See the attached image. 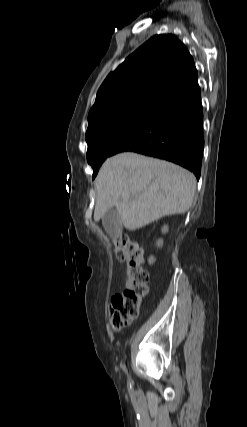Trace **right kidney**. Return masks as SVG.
Wrapping results in <instances>:
<instances>
[{"label":"right kidney","mask_w":247,"mask_h":427,"mask_svg":"<svg viewBox=\"0 0 247 427\" xmlns=\"http://www.w3.org/2000/svg\"><path fill=\"white\" fill-rule=\"evenodd\" d=\"M167 232H168V226L164 225L163 228H162V233L165 234ZM156 245L159 248L162 247L163 246V239H158L157 242H156ZM155 260L156 259L153 256H150L148 258V263L151 265V264H153L155 262Z\"/></svg>","instance_id":"1"}]
</instances>
